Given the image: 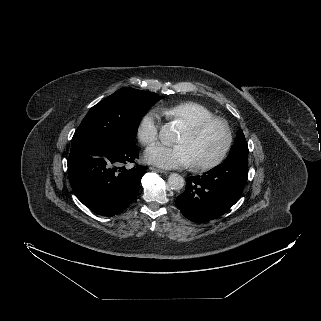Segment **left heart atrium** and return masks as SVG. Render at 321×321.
Returning a JSON list of instances; mask_svg holds the SVG:
<instances>
[{"label":"left heart atrium","instance_id":"left-heart-atrium-1","mask_svg":"<svg viewBox=\"0 0 321 321\" xmlns=\"http://www.w3.org/2000/svg\"><path fill=\"white\" fill-rule=\"evenodd\" d=\"M144 158L149 164L165 169L186 167L193 164L191 151L185 144L152 145L145 151Z\"/></svg>","mask_w":321,"mask_h":321}]
</instances>
